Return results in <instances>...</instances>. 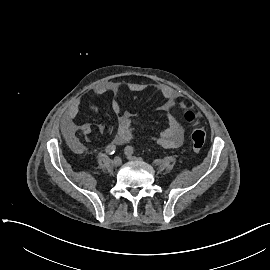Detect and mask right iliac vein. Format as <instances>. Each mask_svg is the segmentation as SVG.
<instances>
[{
	"label": "right iliac vein",
	"mask_w": 270,
	"mask_h": 270,
	"mask_svg": "<svg viewBox=\"0 0 270 270\" xmlns=\"http://www.w3.org/2000/svg\"><path fill=\"white\" fill-rule=\"evenodd\" d=\"M121 163H122V160H121L120 157H115V158L112 160V165H113L114 167L120 166Z\"/></svg>",
	"instance_id": "obj_1"
}]
</instances>
